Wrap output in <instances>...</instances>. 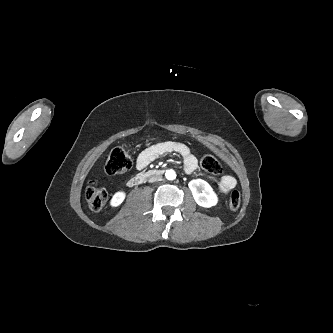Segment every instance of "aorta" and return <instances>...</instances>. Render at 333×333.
Returning a JSON list of instances; mask_svg holds the SVG:
<instances>
[{
  "label": "aorta",
  "mask_w": 333,
  "mask_h": 333,
  "mask_svg": "<svg viewBox=\"0 0 333 333\" xmlns=\"http://www.w3.org/2000/svg\"><path fill=\"white\" fill-rule=\"evenodd\" d=\"M165 177L168 180H174L176 178V172L174 170H167L165 173Z\"/></svg>",
  "instance_id": "1"
}]
</instances>
